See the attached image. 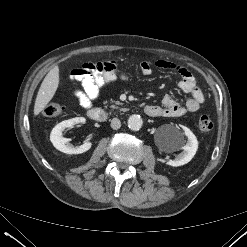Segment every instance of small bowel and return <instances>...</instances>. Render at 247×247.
Instances as JSON below:
<instances>
[{
	"label": "small bowel",
	"instance_id": "small-bowel-1",
	"mask_svg": "<svg viewBox=\"0 0 247 247\" xmlns=\"http://www.w3.org/2000/svg\"><path fill=\"white\" fill-rule=\"evenodd\" d=\"M154 65L163 70L177 72L181 77L177 84L178 88L188 93L190 97L185 105H181L173 97L164 96L161 105H152L154 113L151 117H179L187 112L197 111L204 102L205 96L191 72L181 65L164 59L156 61ZM140 71L145 76L151 75L153 66L150 62L143 61L140 64ZM119 77L125 78L126 75L120 72L118 64L114 61L84 63L70 75L72 81L81 84L82 88L75 90L74 95L84 108L91 107L99 99L102 89L114 83Z\"/></svg>",
	"mask_w": 247,
	"mask_h": 247
}]
</instances>
